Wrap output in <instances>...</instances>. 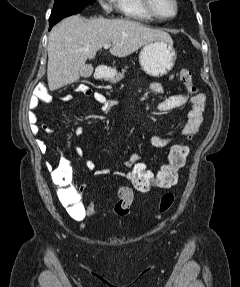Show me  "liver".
<instances>
[{
  "mask_svg": "<svg viewBox=\"0 0 240 287\" xmlns=\"http://www.w3.org/2000/svg\"><path fill=\"white\" fill-rule=\"evenodd\" d=\"M156 40L172 41L167 32L129 19L84 20L78 15L70 16L58 23L48 37L49 90L76 82L87 59L95 58L104 44H111L112 55L125 57Z\"/></svg>",
  "mask_w": 240,
  "mask_h": 287,
  "instance_id": "obj_1",
  "label": "liver"
}]
</instances>
